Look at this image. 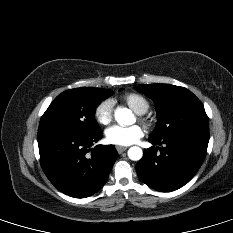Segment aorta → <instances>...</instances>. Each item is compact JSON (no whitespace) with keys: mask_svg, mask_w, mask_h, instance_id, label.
I'll return each mask as SVG.
<instances>
[{"mask_svg":"<svg viewBox=\"0 0 233 233\" xmlns=\"http://www.w3.org/2000/svg\"><path fill=\"white\" fill-rule=\"evenodd\" d=\"M115 120L121 126L131 125L135 122V117L132 111L128 108L118 107L114 113ZM143 151L140 147L133 146L128 150V157L133 161H138L142 158Z\"/></svg>","mask_w":233,"mask_h":233,"instance_id":"aorta-1","label":"aorta"}]
</instances>
